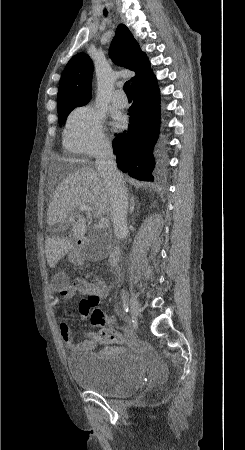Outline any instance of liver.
I'll list each match as a JSON object with an SVG mask.
<instances>
[{
    "mask_svg": "<svg viewBox=\"0 0 245 450\" xmlns=\"http://www.w3.org/2000/svg\"><path fill=\"white\" fill-rule=\"evenodd\" d=\"M81 205L89 206L97 218L105 214L111 217L110 198L105 183L99 172L92 167H81L70 172L57 186L47 212L48 226L51 228L66 221L71 215H78ZM86 230V219L80 216L69 237L51 233L46 235L45 254L51 268L73 248V239L83 238ZM48 231L51 232L50 229Z\"/></svg>",
    "mask_w": 245,
    "mask_h": 450,
    "instance_id": "liver-1",
    "label": "liver"
}]
</instances>
